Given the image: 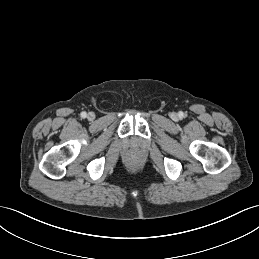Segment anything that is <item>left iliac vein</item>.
I'll return each instance as SVG.
<instances>
[{"instance_id": "obj_1", "label": "left iliac vein", "mask_w": 259, "mask_h": 259, "mask_svg": "<svg viewBox=\"0 0 259 259\" xmlns=\"http://www.w3.org/2000/svg\"><path fill=\"white\" fill-rule=\"evenodd\" d=\"M172 118H173V119H177V114H176V113H173V114H172Z\"/></svg>"}]
</instances>
